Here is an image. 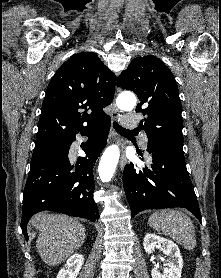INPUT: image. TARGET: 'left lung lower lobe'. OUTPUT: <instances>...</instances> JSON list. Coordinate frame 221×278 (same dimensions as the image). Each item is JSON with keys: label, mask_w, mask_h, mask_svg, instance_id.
<instances>
[{"label": "left lung lower lobe", "mask_w": 221, "mask_h": 278, "mask_svg": "<svg viewBox=\"0 0 221 278\" xmlns=\"http://www.w3.org/2000/svg\"><path fill=\"white\" fill-rule=\"evenodd\" d=\"M150 167L138 170L133 163L123 172V185L132 217L147 209L181 207L201 222V213L186 169L183 145L158 143L148 147Z\"/></svg>", "instance_id": "0a47b994"}]
</instances>
